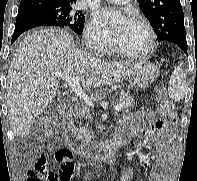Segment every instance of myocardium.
<instances>
[{
    "mask_svg": "<svg viewBox=\"0 0 197 181\" xmlns=\"http://www.w3.org/2000/svg\"><path fill=\"white\" fill-rule=\"evenodd\" d=\"M131 21L141 24L147 30V32L149 34V42H148L147 47L142 51L134 52V51L126 50V49L120 47L115 40L114 44H113V49H114V51H116L117 53H119L125 57L144 58V57L148 56L154 50V48L156 46V40H157L156 32H155L153 26L151 25V23L141 16H134L131 19Z\"/></svg>",
    "mask_w": 197,
    "mask_h": 181,
    "instance_id": "f54148a6",
    "label": "myocardium"
}]
</instances>
